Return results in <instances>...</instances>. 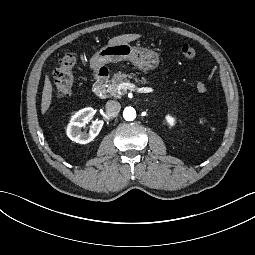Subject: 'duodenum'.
<instances>
[{"mask_svg": "<svg viewBox=\"0 0 255 255\" xmlns=\"http://www.w3.org/2000/svg\"><path fill=\"white\" fill-rule=\"evenodd\" d=\"M109 73L106 68H100L95 73V82L93 85L94 93L100 97L105 98L107 92Z\"/></svg>", "mask_w": 255, "mask_h": 255, "instance_id": "1", "label": "duodenum"}]
</instances>
